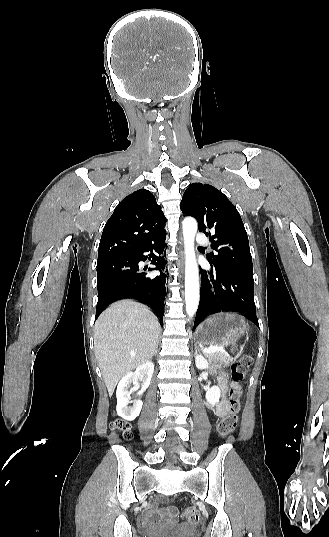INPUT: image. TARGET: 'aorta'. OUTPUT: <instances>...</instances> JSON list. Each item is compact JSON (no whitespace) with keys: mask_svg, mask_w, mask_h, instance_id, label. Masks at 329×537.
Masks as SVG:
<instances>
[{"mask_svg":"<svg viewBox=\"0 0 329 537\" xmlns=\"http://www.w3.org/2000/svg\"><path fill=\"white\" fill-rule=\"evenodd\" d=\"M197 222L187 217L183 220V237L185 248V303L186 312L192 318L198 308L200 298L199 271L195 255V235Z\"/></svg>","mask_w":329,"mask_h":537,"instance_id":"1","label":"aorta"}]
</instances>
